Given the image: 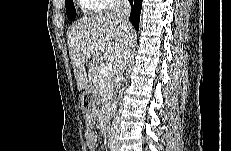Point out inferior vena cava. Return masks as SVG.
Here are the masks:
<instances>
[{
  "instance_id": "1",
  "label": "inferior vena cava",
  "mask_w": 231,
  "mask_h": 151,
  "mask_svg": "<svg viewBox=\"0 0 231 151\" xmlns=\"http://www.w3.org/2000/svg\"><path fill=\"white\" fill-rule=\"evenodd\" d=\"M131 12V6L128 0H114L113 6V15L116 17L120 28L125 32L127 36L132 33L133 29L129 22V15ZM133 46V41L126 43L123 48L118 62V75L116 78V88L117 90L121 88V75L126 66L127 59L131 53V49ZM120 134V126H119V116L116 114L114 116V121L112 122L111 134H110V147L114 148L118 143V138Z\"/></svg>"
}]
</instances>
